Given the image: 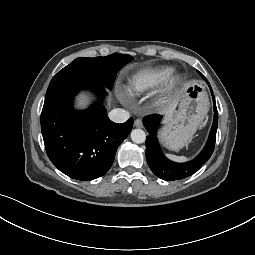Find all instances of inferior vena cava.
I'll return each instance as SVG.
<instances>
[{
	"mask_svg": "<svg viewBox=\"0 0 255 255\" xmlns=\"http://www.w3.org/2000/svg\"><path fill=\"white\" fill-rule=\"evenodd\" d=\"M129 117H130L129 112L121 108L113 109L109 113L110 120L115 123H124L129 119Z\"/></svg>",
	"mask_w": 255,
	"mask_h": 255,
	"instance_id": "1",
	"label": "inferior vena cava"
}]
</instances>
